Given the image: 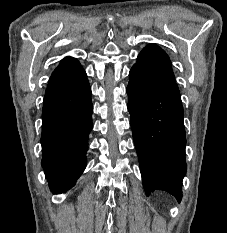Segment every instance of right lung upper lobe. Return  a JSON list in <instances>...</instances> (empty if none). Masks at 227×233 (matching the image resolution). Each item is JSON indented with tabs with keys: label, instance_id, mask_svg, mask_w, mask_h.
Here are the masks:
<instances>
[{
	"label": "right lung upper lobe",
	"instance_id": "cb5924a9",
	"mask_svg": "<svg viewBox=\"0 0 227 233\" xmlns=\"http://www.w3.org/2000/svg\"><path fill=\"white\" fill-rule=\"evenodd\" d=\"M86 79L80 63L73 57H65L50 77L43 104L69 92Z\"/></svg>",
	"mask_w": 227,
	"mask_h": 233
}]
</instances>
